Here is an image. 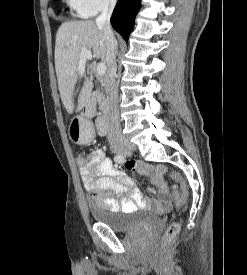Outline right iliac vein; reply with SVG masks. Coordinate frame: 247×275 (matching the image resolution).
Masks as SVG:
<instances>
[{"instance_id": "63e3f726", "label": "right iliac vein", "mask_w": 247, "mask_h": 275, "mask_svg": "<svg viewBox=\"0 0 247 275\" xmlns=\"http://www.w3.org/2000/svg\"><path fill=\"white\" fill-rule=\"evenodd\" d=\"M135 146L131 144L129 141H125L121 146L115 147V152L119 154H124L130 150H133Z\"/></svg>"}]
</instances>
